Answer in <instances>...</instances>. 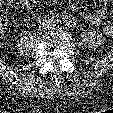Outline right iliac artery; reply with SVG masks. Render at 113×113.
Masks as SVG:
<instances>
[{
	"label": "right iliac artery",
	"mask_w": 113,
	"mask_h": 113,
	"mask_svg": "<svg viewBox=\"0 0 113 113\" xmlns=\"http://www.w3.org/2000/svg\"><path fill=\"white\" fill-rule=\"evenodd\" d=\"M60 16L63 18L65 15L63 13H61ZM38 23H41L40 18H38Z\"/></svg>",
	"instance_id": "1"
}]
</instances>
